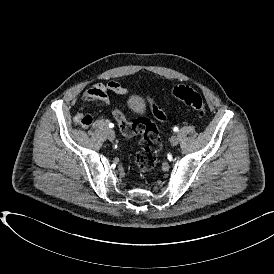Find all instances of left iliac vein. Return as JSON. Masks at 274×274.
Here are the masks:
<instances>
[{
  "instance_id": "1",
  "label": "left iliac vein",
  "mask_w": 274,
  "mask_h": 274,
  "mask_svg": "<svg viewBox=\"0 0 274 274\" xmlns=\"http://www.w3.org/2000/svg\"><path fill=\"white\" fill-rule=\"evenodd\" d=\"M170 142H171V144H172L173 146L178 145V143H179V138H178V136L173 135V136L171 137V139H170Z\"/></svg>"
}]
</instances>
